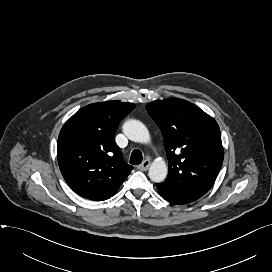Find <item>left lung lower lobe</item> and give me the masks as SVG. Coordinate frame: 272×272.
Returning a JSON list of instances; mask_svg holds the SVG:
<instances>
[{"label": "left lung lower lobe", "instance_id": "obj_1", "mask_svg": "<svg viewBox=\"0 0 272 272\" xmlns=\"http://www.w3.org/2000/svg\"><path fill=\"white\" fill-rule=\"evenodd\" d=\"M162 198L172 204H187L202 197L207 192L197 190H185L179 193L167 191L164 185L156 184Z\"/></svg>", "mask_w": 272, "mask_h": 272}]
</instances>
